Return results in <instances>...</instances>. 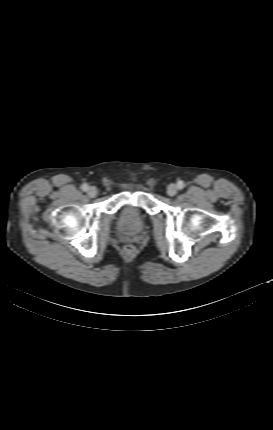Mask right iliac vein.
Instances as JSON below:
<instances>
[{"instance_id": "right-iliac-vein-1", "label": "right iliac vein", "mask_w": 273, "mask_h": 430, "mask_svg": "<svg viewBox=\"0 0 273 430\" xmlns=\"http://www.w3.org/2000/svg\"><path fill=\"white\" fill-rule=\"evenodd\" d=\"M87 194L89 197L93 198L97 195V189L95 187H89Z\"/></svg>"}]
</instances>
